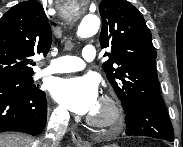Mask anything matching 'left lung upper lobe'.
I'll list each match as a JSON object with an SVG mask.
<instances>
[{"label": "left lung upper lobe", "mask_w": 183, "mask_h": 147, "mask_svg": "<svg viewBox=\"0 0 183 147\" xmlns=\"http://www.w3.org/2000/svg\"><path fill=\"white\" fill-rule=\"evenodd\" d=\"M101 48L109 59L102 69L127 110L141 101L162 102L152 36L142 14L126 0H102Z\"/></svg>", "instance_id": "obj_1"}]
</instances>
